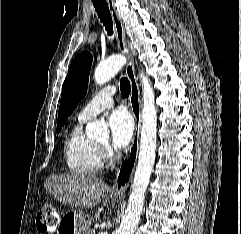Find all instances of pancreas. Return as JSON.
<instances>
[{"instance_id": "obj_1", "label": "pancreas", "mask_w": 241, "mask_h": 234, "mask_svg": "<svg viewBox=\"0 0 241 234\" xmlns=\"http://www.w3.org/2000/svg\"><path fill=\"white\" fill-rule=\"evenodd\" d=\"M86 234H92V233H90V232H87Z\"/></svg>"}]
</instances>
